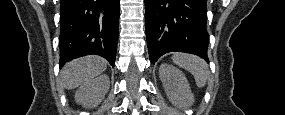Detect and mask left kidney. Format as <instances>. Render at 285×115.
<instances>
[{"mask_svg": "<svg viewBox=\"0 0 285 115\" xmlns=\"http://www.w3.org/2000/svg\"><path fill=\"white\" fill-rule=\"evenodd\" d=\"M159 76L172 104L182 107H189L193 104L194 95L184 73L180 69L168 63H163L159 68Z\"/></svg>", "mask_w": 285, "mask_h": 115, "instance_id": "5707ae66", "label": "left kidney"}]
</instances>
